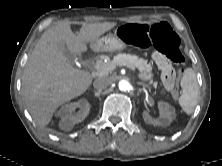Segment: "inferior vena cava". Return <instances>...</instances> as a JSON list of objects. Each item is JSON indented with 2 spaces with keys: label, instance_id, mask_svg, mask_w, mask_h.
<instances>
[{
  "label": "inferior vena cava",
  "instance_id": "1",
  "mask_svg": "<svg viewBox=\"0 0 222 166\" xmlns=\"http://www.w3.org/2000/svg\"><path fill=\"white\" fill-rule=\"evenodd\" d=\"M111 83L112 81L109 78L100 77L93 82V86L98 90H106L111 85Z\"/></svg>",
  "mask_w": 222,
  "mask_h": 166
}]
</instances>
